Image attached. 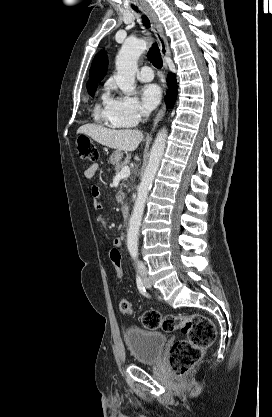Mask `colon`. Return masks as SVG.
I'll list each match as a JSON object with an SVG mask.
<instances>
[{
  "mask_svg": "<svg viewBox=\"0 0 272 417\" xmlns=\"http://www.w3.org/2000/svg\"><path fill=\"white\" fill-rule=\"evenodd\" d=\"M78 154L81 159L95 161L99 157L97 147L85 136L78 138ZM110 261L116 276H123L122 255L120 249L112 247L109 252ZM119 310L125 316L133 314V307L129 300L119 301ZM141 323L149 329H162L165 332L180 330L186 335L185 339L176 341L170 350L169 361L174 373L178 377L187 375L201 360L204 350L209 347L216 337L214 323L201 314L162 316L157 311H146L141 316Z\"/></svg>",
  "mask_w": 272,
  "mask_h": 417,
  "instance_id": "obj_1",
  "label": "colon"
}]
</instances>
